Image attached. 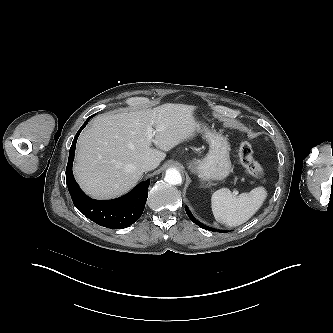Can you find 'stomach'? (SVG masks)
<instances>
[{
  "instance_id": "obj_1",
  "label": "stomach",
  "mask_w": 333,
  "mask_h": 333,
  "mask_svg": "<svg viewBox=\"0 0 333 333\" xmlns=\"http://www.w3.org/2000/svg\"><path fill=\"white\" fill-rule=\"evenodd\" d=\"M197 128L205 133L209 152L203 159L190 162L189 169L203 181L225 179L231 172L230 145L227 138L221 133L208 130L199 123Z\"/></svg>"
}]
</instances>
